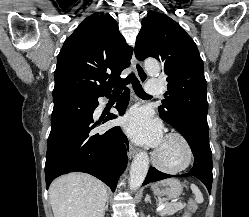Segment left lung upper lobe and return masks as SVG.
<instances>
[{
	"label": "left lung upper lobe",
	"instance_id": "5c2ea615",
	"mask_svg": "<svg viewBox=\"0 0 249 217\" xmlns=\"http://www.w3.org/2000/svg\"><path fill=\"white\" fill-rule=\"evenodd\" d=\"M137 59L154 57L167 76L166 100L160 117L178 128L184 117H207V83L203 61L195 42L174 20L163 13H148L135 44Z\"/></svg>",
	"mask_w": 249,
	"mask_h": 217
}]
</instances>
